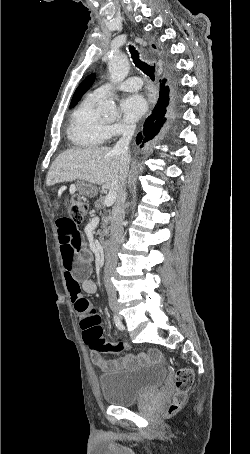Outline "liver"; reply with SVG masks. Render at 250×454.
<instances>
[{
  "instance_id": "obj_1",
  "label": "liver",
  "mask_w": 250,
  "mask_h": 454,
  "mask_svg": "<svg viewBox=\"0 0 250 454\" xmlns=\"http://www.w3.org/2000/svg\"><path fill=\"white\" fill-rule=\"evenodd\" d=\"M128 164L108 147L69 149L52 163L46 184L81 180L118 193L127 176Z\"/></svg>"
}]
</instances>
